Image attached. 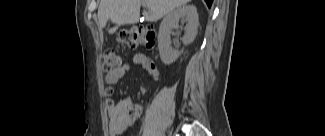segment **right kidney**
<instances>
[{"instance_id": "ca27d5eb", "label": "right kidney", "mask_w": 325, "mask_h": 136, "mask_svg": "<svg viewBox=\"0 0 325 136\" xmlns=\"http://www.w3.org/2000/svg\"><path fill=\"white\" fill-rule=\"evenodd\" d=\"M180 19L183 24H186L185 34L182 38L184 45L192 43L197 35L199 18L194 5H183L168 13L160 24L158 35L159 53L165 65L173 63L183 53V50H173L170 41L171 29L179 23Z\"/></svg>"}]
</instances>
